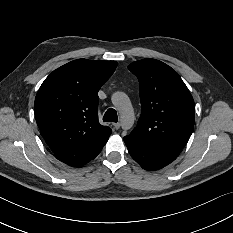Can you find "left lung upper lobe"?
<instances>
[{"label": "left lung upper lobe", "mask_w": 233, "mask_h": 233, "mask_svg": "<svg viewBox=\"0 0 233 233\" xmlns=\"http://www.w3.org/2000/svg\"><path fill=\"white\" fill-rule=\"evenodd\" d=\"M128 69L139 80L141 116L130 137L178 156L194 125V100L180 76L165 63L143 59Z\"/></svg>", "instance_id": "left-lung-upper-lobe-1"}]
</instances>
